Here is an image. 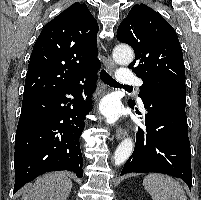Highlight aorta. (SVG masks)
Here are the masks:
<instances>
[{
    "label": "aorta",
    "instance_id": "762f6f07",
    "mask_svg": "<svg viewBox=\"0 0 201 200\" xmlns=\"http://www.w3.org/2000/svg\"><path fill=\"white\" fill-rule=\"evenodd\" d=\"M114 60L121 65H128L134 59L133 50L126 45H118L113 51ZM133 152V141L131 138H125L117 147L113 161L116 166L124 163Z\"/></svg>",
    "mask_w": 201,
    "mask_h": 200
}]
</instances>
